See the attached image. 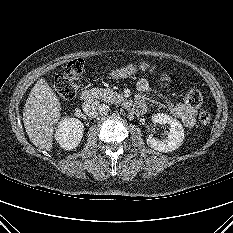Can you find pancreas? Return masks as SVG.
Listing matches in <instances>:
<instances>
[{
  "instance_id": "obj_1",
  "label": "pancreas",
  "mask_w": 233,
  "mask_h": 233,
  "mask_svg": "<svg viewBox=\"0 0 233 233\" xmlns=\"http://www.w3.org/2000/svg\"><path fill=\"white\" fill-rule=\"evenodd\" d=\"M95 98L101 99L105 102L116 103L122 100V96L112 89L107 88H93L91 90Z\"/></svg>"
}]
</instances>
